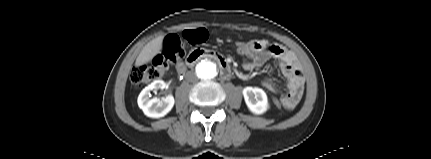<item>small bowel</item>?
I'll list each match as a JSON object with an SVG mask.
<instances>
[{
  "label": "small bowel",
  "instance_id": "1",
  "mask_svg": "<svg viewBox=\"0 0 431 159\" xmlns=\"http://www.w3.org/2000/svg\"><path fill=\"white\" fill-rule=\"evenodd\" d=\"M247 47V52L241 54L244 57L243 67L252 70L263 66L269 59L278 62L280 73L286 80L287 93L282 95L277 103L285 111H290L299 103L304 89V73L299 66L295 55L283 46L272 43L266 39H253L248 42H237V46ZM184 65L179 62L177 70H183ZM264 86L271 92H276V86L270 80L264 82Z\"/></svg>",
  "mask_w": 431,
  "mask_h": 159
}]
</instances>
